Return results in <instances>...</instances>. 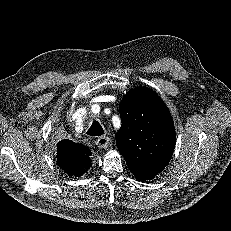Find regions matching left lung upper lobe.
<instances>
[{
	"mask_svg": "<svg viewBox=\"0 0 231 231\" xmlns=\"http://www.w3.org/2000/svg\"><path fill=\"white\" fill-rule=\"evenodd\" d=\"M119 110L122 125L116 134L118 150L138 180H151L163 171L174 151L175 130L170 112L147 87L127 93Z\"/></svg>",
	"mask_w": 231,
	"mask_h": 231,
	"instance_id": "left-lung-upper-lobe-1",
	"label": "left lung upper lobe"
}]
</instances>
